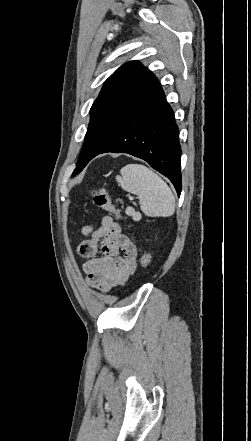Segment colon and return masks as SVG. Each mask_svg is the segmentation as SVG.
I'll list each match as a JSON object with an SVG mask.
<instances>
[{
	"label": "colon",
	"instance_id": "1",
	"mask_svg": "<svg viewBox=\"0 0 251 441\" xmlns=\"http://www.w3.org/2000/svg\"><path fill=\"white\" fill-rule=\"evenodd\" d=\"M91 195L93 198L94 204L111 214H114L117 218H121L122 215L120 211L113 205L111 202L108 193L104 188L98 187L91 191ZM151 256L148 252L143 253V255L140 258V264L142 267L146 268L150 264Z\"/></svg>",
	"mask_w": 251,
	"mask_h": 441
}]
</instances>
